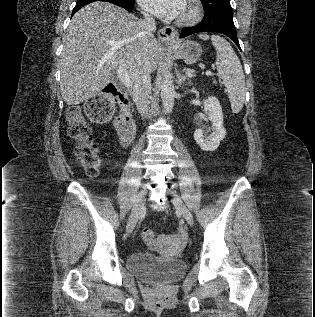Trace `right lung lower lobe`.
I'll use <instances>...</instances> for the list:
<instances>
[{
	"mask_svg": "<svg viewBox=\"0 0 315 317\" xmlns=\"http://www.w3.org/2000/svg\"><path fill=\"white\" fill-rule=\"evenodd\" d=\"M95 1L110 2L126 9L127 11H131L135 3V0H80V1H77V4L73 9L72 15H74L81 7Z\"/></svg>",
	"mask_w": 315,
	"mask_h": 317,
	"instance_id": "right-lung-lower-lobe-1",
	"label": "right lung lower lobe"
}]
</instances>
